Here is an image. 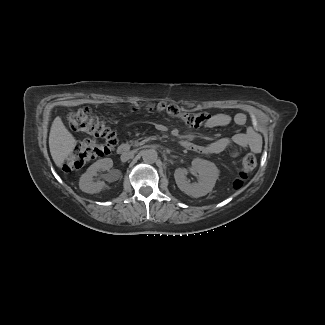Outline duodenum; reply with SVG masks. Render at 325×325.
I'll use <instances>...</instances> for the list:
<instances>
[{
    "mask_svg": "<svg viewBox=\"0 0 325 325\" xmlns=\"http://www.w3.org/2000/svg\"><path fill=\"white\" fill-rule=\"evenodd\" d=\"M181 146L184 147V148H189L190 146H192L191 143L189 142H182L181 143ZM130 151V146L128 144H121L119 147H118V154L120 156H125L129 153Z\"/></svg>",
    "mask_w": 325,
    "mask_h": 325,
    "instance_id": "1",
    "label": "duodenum"
}]
</instances>
